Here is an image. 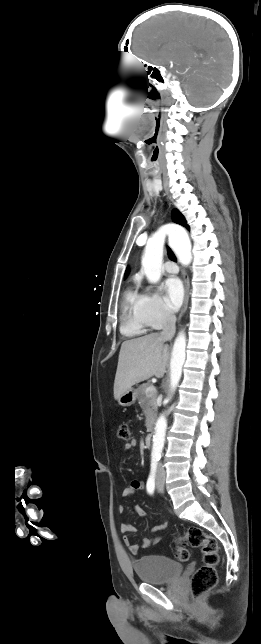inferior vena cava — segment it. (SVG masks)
<instances>
[{"label": "inferior vena cava", "mask_w": 261, "mask_h": 644, "mask_svg": "<svg viewBox=\"0 0 261 644\" xmlns=\"http://www.w3.org/2000/svg\"><path fill=\"white\" fill-rule=\"evenodd\" d=\"M176 317L173 314L165 313V325L163 331L161 332V337L169 339L175 330ZM164 468L162 464H159L157 467V474H164Z\"/></svg>", "instance_id": "obj_1"}]
</instances>
